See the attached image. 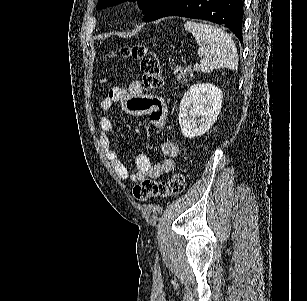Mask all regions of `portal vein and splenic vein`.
<instances>
[{
  "label": "portal vein and splenic vein",
  "instance_id": "portal-vein-and-splenic-vein-1",
  "mask_svg": "<svg viewBox=\"0 0 307 301\" xmlns=\"http://www.w3.org/2000/svg\"><path fill=\"white\" fill-rule=\"evenodd\" d=\"M194 68H198V64H197V62H195V64H194Z\"/></svg>",
  "mask_w": 307,
  "mask_h": 301
}]
</instances>
